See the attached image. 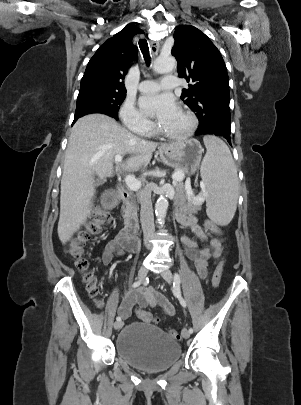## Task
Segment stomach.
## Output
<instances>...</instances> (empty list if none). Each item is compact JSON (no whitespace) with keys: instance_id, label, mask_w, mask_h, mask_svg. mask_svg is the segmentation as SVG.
I'll return each mask as SVG.
<instances>
[{"instance_id":"1","label":"stomach","mask_w":301,"mask_h":405,"mask_svg":"<svg viewBox=\"0 0 301 405\" xmlns=\"http://www.w3.org/2000/svg\"><path fill=\"white\" fill-rule=\"evenodd\" d=\"M202 146L196 139L174 142L159 148V154L165 165L182 169L185 173L193 175L199 168L202 158Z\"/></svg>"}]
</instances>
